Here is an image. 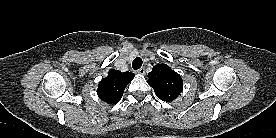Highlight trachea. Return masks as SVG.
I'll use <instances>...</instances> for the list:
<instances>
[{
    "instance_id": "1",
    "label": "trachea",
    "mask_w": 276,
    "mask_h": 138,
    "mask_svg": "<svg viewBox=\"0 0 276 138\" xmlns=\"http://www.w3.org/2000/svg\"><path fill=\"white\" fill-rule=\"evenodd\" d=\"M142 59L140 57H136L134 60H133V63H132V68L134 70H137V69H140L141 66H142Z\"/></svg>"
}]
</instances>
